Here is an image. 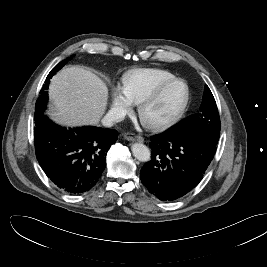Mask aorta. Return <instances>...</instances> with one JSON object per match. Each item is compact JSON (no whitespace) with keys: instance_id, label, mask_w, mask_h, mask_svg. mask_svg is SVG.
I'll return each instance as SVG.
<instances>
[{"instance_id":"obj_1","label":"aorta","mask_w":267,"mask_h":267,"mask_svg":"<svg viewBox=\"0 0 267 267\" xmlns=\"http://www.w3.org/2000/svg\"><path fill=\"white\" fill-rule=\"evenodd\" d=\"M132 153L136 159L141 162H146L150 160V150L148 147L142 143H134L131 146Z\"/></svg>"}]
</instances>
